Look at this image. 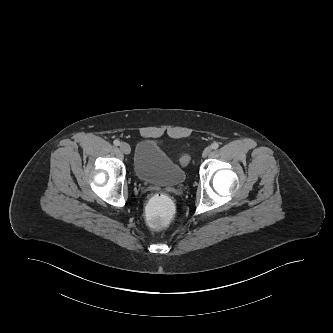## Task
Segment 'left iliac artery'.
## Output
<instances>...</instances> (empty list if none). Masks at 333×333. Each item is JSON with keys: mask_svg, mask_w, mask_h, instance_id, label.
Returning <instances> with one entry per match:
<instances>
[{"mask_svg": "<svg viewBox=\"0 0 333 333\" xmlns=\"http://www.w3.org/2000/svg\"><path fill=\"white\" fill-rule=\"evenodd\" d=\"M211 147H212V149H218L219 148V144L217 143V142H214V143H212V145H211Z\"/></svg>", "mask_w": 333, "mask_h": 333, "instance_id": "left-iliac-artery-1", "label": "left iliac artery"}]
</instances>
